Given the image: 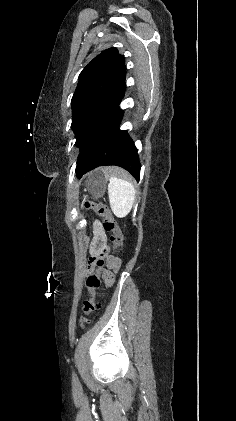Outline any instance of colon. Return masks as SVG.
<instances>
[{
  "label": "colon",
  "mask_w": 236,
  "mask_h": 421,
  "mask_svg": "<svg viewBox=\"0 0 236 421\" xmlns=\"http://www.w3.org/2000/svg\"><path fill=\"white\" fill-rule=\"evenodd\" d=\"M83 208L93 210L97 215H99L103 221V227L105 231L111 232L113 234V249L114 251L121 246L123 241V234L120 227L118 226L116 220L111 214L109 208L101 203H95L87 201L83 204ZM109 252L106 250L98 255L91 257L89 266H88V275L86 277V287L89 292V297L84 300L82 306V314L79 317V323L82 328L85 327L88 321V317L93 312L97 311L100 308V305L96 301V291L101 286V278L104 273L105 268V257Z\"/></svg>",
  "instance_id": "obj_1"
}]
</instances>
